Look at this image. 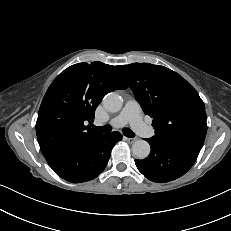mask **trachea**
Returning <instances> with one entry per match:
<instances>
[{"instance_id": "1", "label": "trachea", "mask_w": 231, "mask_h": 231, "mask_svg": "<svg viewBox=\"0 0 231 231\" xmlns=\"http://www.w3.org/2000/svg\"><path fill=\"white\" fill-rule=\"evenodd\" d=\"M92 128L97 131V132H101V133H110L112 128L110 125H104V126H95V125H92ZM123 134L126 136V137H129V138H133L135 136L134 132L129 129V128H124L123 129Z\"/></svg>"}]
</instances>
